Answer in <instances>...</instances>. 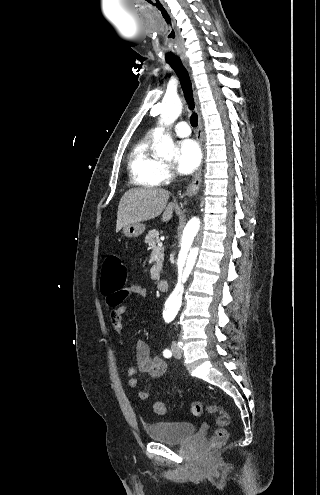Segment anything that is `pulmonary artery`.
Instances as JSON below:
<instances>
[{
    "instance_id": "obj_1",
    "label": "pulmonary artery",
    "mask_w": 320,
    "mask_h": 495,
    "mask_svg": "<svg viewBox=\"0 0 320 495\" xmlns=\"http://www.w3.org/2000/svg\"><path fill=\"white\" fill-rule=\"evenodd\" d=\"M175 133L180 137H187L190 135V128L185 121L178 122L174 127ZM164 132V128H155L152 133L154 135H160Z\"/></svg>"
}]
</instances>
